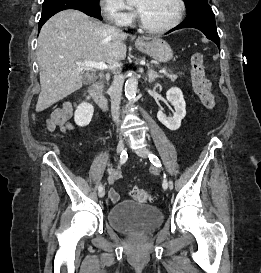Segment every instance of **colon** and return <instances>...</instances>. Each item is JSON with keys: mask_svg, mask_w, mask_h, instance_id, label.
Masks as SVG:
<instances>
[{"mask_svg": "<svg viewBox=\"0 0 261 273\" xmlns=\"http://www.w3.org/2000/svg\"><path fill=\"white\" fill-rule=\"evenodd\" d=\"M191 75L194 92L199 97L202 105L207 109H214L216 102L214 95L211 93L210 81L206 77L204 59L201 53H194L191 57ZM130 193L136 201L141 203L153 200L151 193L141 188H132Z\"/></svg>", "mask_w": 261, "mask_h": 273, "instance_id": "colon-1", "label": "colon"}]
</instances>
